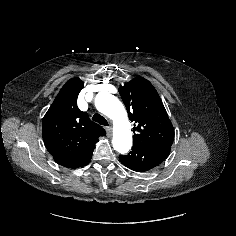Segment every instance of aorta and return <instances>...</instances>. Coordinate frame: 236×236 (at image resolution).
Instances as JSON below:
<instances>
[{
  "instance_id": "aorta-1",
  "label": "aorta",
  "mask_w": 236,
  "mask_h": 236,
  "mask_svg": "<svg viewBox=\"0 0 236 236\" xmlns=\"http://www.w3.org/2000/svg\"><path fill=\"white\" fill-rule=\"evenodd\" d=\"M95 106L97 110L114 123L112 144L114 150L121 154L127 153L132 146L131 124L123 104L115 96L105 93L98 94Z\"/></svg>"
}]
</instances>
